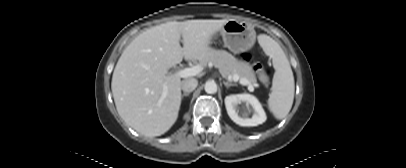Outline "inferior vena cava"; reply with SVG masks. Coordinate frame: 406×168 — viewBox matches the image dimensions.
<instances>
[{
  "label": "inferior vena cava",
  "instance_id": "obj_1",
  "mask_svg": "<svg viewBox=\"0 0 406 168\" xmlns=\"http://www.w3.org/2000/svg\"><path fill=\"white\" fill-rule=\"evenodd\" d=\"M197 85H198V81L196 79L189 78V79L182 81L181 88L184 91V93H190L196 89Z\"/></svg>",
  "mask_w": 406,
  "mask_h": 168
}]
</instances>
